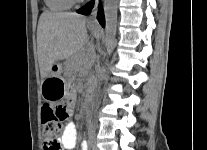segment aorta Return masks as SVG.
<instances>
[{
	"label": "aorta",
	"instance_id": "obj_1",
	"mask_svg": "<svg viewBox=\"0 0 207 150\" xmlns=\"http://www.w3.org/2000/svg\"><path fill=\"white\" fill-rule=\"evenodd\" d=\"M117 0H104L105 48L110 53L117 28Z\"/></svg>",
	"mask_w": 207,
	"mask_h": 150
}]
</instances>
